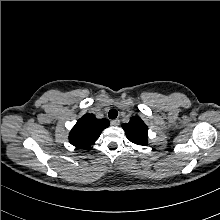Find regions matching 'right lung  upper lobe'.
<instances>
[{
	"label": "right lung upper lobe",
	"mask_w": 220,
	"mask_h": 220,
	"mask_svg": "<svg viewBox=\"0 0 220 220\" xmlns=\"http://www.w3.org/2000/svg\"><path fill=\"white\" fill-rule=\"evenodd\" d=\"M109 126L107 119H97L93 114L82 116L69 134V141L78 148H89Z\"/></svg>",
	"instance_id": "1"
}]
</instances>
